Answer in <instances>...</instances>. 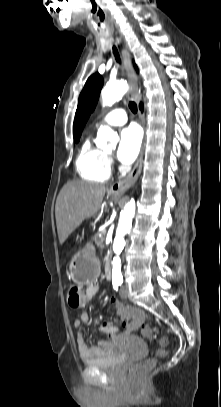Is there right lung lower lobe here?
Here are the masks:
<instances>
[{
	"mask_svg": "<svg viewBox=\"0 0 221 407\" xmlns=\"http://www.w3.org/2000/svg\"><path fill=\"white\" fill-rule=\"evenodd\" d=\"M140 109L143 110L141 105H140Z\"/></svg>",
	"mask_w": 221,
	"mask_h": 407,
	"instance_id": "98d812e1",
	"label": "right lung lower lobe"
}]
</instances>
